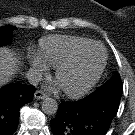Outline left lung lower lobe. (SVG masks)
Returning a JSON list of instances; mask_svg holds the SVG:
<instances>
[{"instance_id":"obj_1","label":"left lung lower lobe","mask_w":135,"mask_h":135,"mask_svg":"<svg viewBox=\"0 0 135 135\" xmlns=\"http://www.w3.org/2000/svg\"><path fill=\"white\" fill-rule=\"evenodd\" d=\"M122 86L103 85L87 97L64 102L51 120L54 135H105L115 117Z\"/></svg>"}]
</instances>
